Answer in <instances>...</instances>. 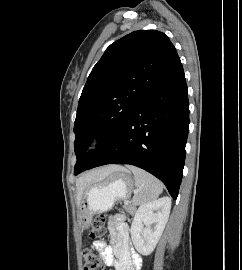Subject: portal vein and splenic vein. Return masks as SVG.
<instances>
[{
	"instance_id": "obj_1",
	"label": "portal vein and splenic vein",
	"mask_w": 242,
	"mask_h": 270,
	"mask_svg": "<svg viewBox=\"0 0 242 270\" xmlns=\"http://www.w3.org/2000/svg\"><path fill=\"white\" fill-rule=\"evenodd\" d=\"M129 203V201L128 200H125V204H128Z\"/></svg>"
}]
</instances>
